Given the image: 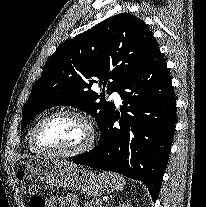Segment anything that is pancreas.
I'll list each match as a JSON object with an SVG mask.
<instances>
[{"instance_id": "obj_1", "label": "pancreas", "mask_w": 206, "mask_h": 207, "mask_svg": "<svg viewBox=\"0 0 206 207\" xmlns=\"http://www.w3.org/2000/svg\"><path fill=\"white\" fill-rule=\"evenodd\" d=\"M100 201L97 200V201H90V202H85L84 203V207H100L99 205Z\"/></svg>"}]
</instances>
